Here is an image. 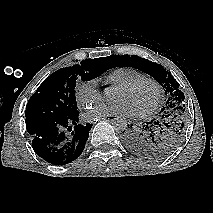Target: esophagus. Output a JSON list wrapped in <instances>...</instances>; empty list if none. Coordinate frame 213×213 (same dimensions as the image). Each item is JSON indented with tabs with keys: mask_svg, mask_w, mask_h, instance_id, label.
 <instances>
[{
	"mask_svg": "<svg viewBox=\"0 0 213 213\" xmlns=\"http://www.w3.org/2000/svg\"><path fill=\"white\" fill-rule=\"evenodd\" d=\"M116 119H118L117 116H107V117L99 118V120H108V121H114Z\"/></svg>",
	"mask_w": 213,
	"mask_h": 213,
	"instance_id": "34e87169",
	"label": "esophagus"
}]
</instances>
